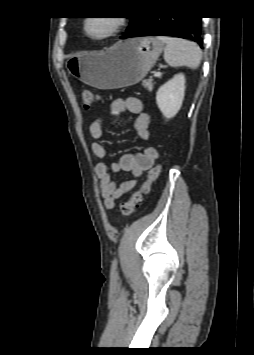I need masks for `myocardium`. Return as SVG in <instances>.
<instances>
[{
    "instance_id": "obj_1",
    "label": "myocardium",
    "mask_w": 254,
    "mask_h": 355,
    "mask_svg": "<svg viewBox=\"0 0 254 355\" xmlns=\"http://www.w3.org/2000/svg\"><path fill=\"white\" fill-rule=\"evenodd\" d=\"M98 18L106 19L107 21H109L111 24V28L105 34L95 36V35H92L89 33L88 25L91 20L98 19ZM124 24H125V19L121 16H89L85 19V21L83 23V31H84V34L90 39L104 40V39H108V38H111L114 35H116L123 28Z\"/></svg>"
}]
</instances>
